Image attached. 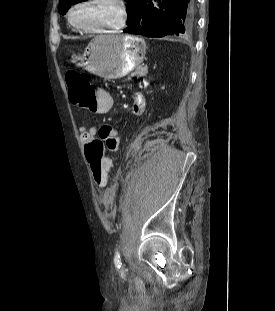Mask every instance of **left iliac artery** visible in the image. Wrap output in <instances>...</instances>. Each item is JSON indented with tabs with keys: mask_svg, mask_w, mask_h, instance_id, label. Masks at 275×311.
Wrapping results in <instances>:
<instances>
[{
	"mask_svg": "<svg viewBox=\"0 0 275 311\" xmlns=\"http://www.w3.org/2000/svg\"><path fill=\"white\" fill-rule=\"evenodd\" d=\"M120 259V255H119V252L116 253V256H115V262H118Z\"/></svg>",
	"mask_w": 275,
	"mask_h": 311,
	"instance_id": "left-iliac-artery-1",
	"label": "left iliac artery"
}]
</instances>
